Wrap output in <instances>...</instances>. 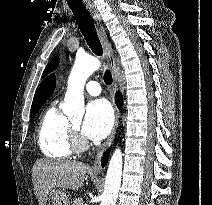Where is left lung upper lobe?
Instances as JSON below:
<instances>
[{
  "instance_id": "obj_1",
  "label": "left lung upper lobe",
  "mask_w": 212,
  "mask_h": 205,
  "mask_svg": "<svg viewBox=\"0 0 212 205\" xmlns=\"http://www.w3.org/2000/svg\"><path fill=\"white\" fill-rule=\"evenodd\" d=\"M59 64V57L55 56L53 57L49 63L47 64L42 77H45L50 71L54 70Z\"/></svg>"
}]
</instances>
